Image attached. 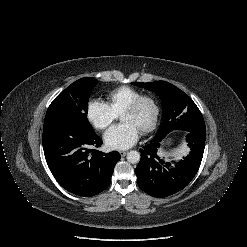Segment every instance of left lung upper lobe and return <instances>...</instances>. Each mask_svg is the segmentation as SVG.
Segmentation results:
<instances>
[{"label": "left lung upper lobe", "mask_w": 247, "mask_h": 247, "mask_svg": "<svg viewBox=\"0 0 247 247\" xmlns=\"http://www.w3.org/2000/svg\"><path fill=\"white\" fill-rule=\"evenodd\" d=\"M132 84L155 92L162 100L163 118L155 140L162 139L176 130L186 132L206 130L203 116L196 104L176 86L165 81Z\"/></svg>", "instance_id": "5c2ea615"}]
</instances>
